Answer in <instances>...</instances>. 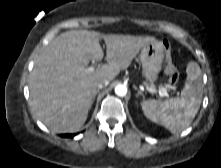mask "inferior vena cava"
Wrapping results in <instances>:
<instances>
[{"instance_id":"1","label":"inferior vena cava","mask_w":221,"mask_h":168,"mask_svg":"<svg viewBox=\"0 0 221 168\" xmlns=\"http://www.w3.org/2000/svg\"><path fill=\"white\" fill-rule=\"evenodd\" d=\"M108 84H109V80H107V79L102 80L97 84V88H98V90H100V89L108 86Z\"/></svg>"}]
</instances>
